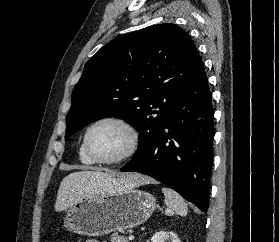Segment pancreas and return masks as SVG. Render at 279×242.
<instances>
[{"mask_svg": "<svg viewBox=\"0 0 279 242\" xmlns=\"http://www.w3.org/2000/svg\"><path fill=\"white\" fill-rule=\"evenodd\" d=\"M125 233V232H122ZM111 242H128V239L124 235H120L118 233H114L110 236Z\"/></svg>", "mask_w": 279, "mask_h": 242, "instance_id": "pancreas-1", "label": "pancreas"}]
</instances>
